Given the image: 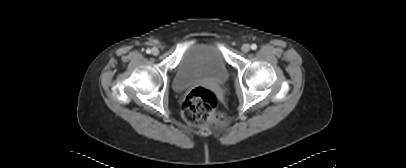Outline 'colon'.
I'll use <instances>...</instances> for the list:
<instances>
[{
  "label": "colon",
  "mask_w": 406,
  "mask_h": 168,
  "mask_svg": "<svg viewBox=\"0 0 406 168\" xmlns=\"http://www.w3.org/2000/svg\"><path fill=\"white\" fill-rule=\"evenodd\" d=\"M216 108V94L209 88L199 86L186 95L182 103V115L192 125L224 121L225 115L217 112Z\"/></svg>",
  "instance_id": "5ec220e1"
}]
</instances>
